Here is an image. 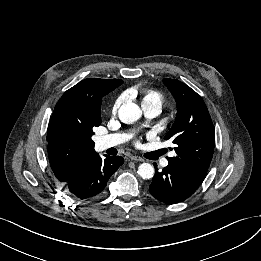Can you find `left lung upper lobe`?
Here are the masks:
<instances>
[{"instance_id":"5c2ea615","label":"left lung upper lobe","mask_w":261,"mask_h":261,"mask_svg":"<svg viewBox=\"0 0 261 261\" xmlns=\"http://www.w3.org/2000/svg\"><path fill=\"white\" fill-rule=\"evenodd\" d=\"M163 82L177 105L176 120L164 137L175 144L176 156L168 157V162L200 186L214 152L213 123L203 99L193 89L174 79Z\"/></svg>"}]
</instances>
